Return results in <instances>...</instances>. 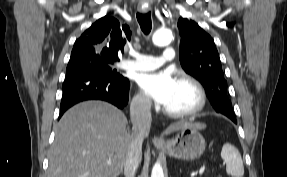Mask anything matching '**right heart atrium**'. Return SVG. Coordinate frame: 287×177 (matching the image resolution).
<instances>
[{
	"label": "right heart atrium",
	"mask_w": 287,
	"mask_h": 177,
	"mask_svg": "<svg viewBox=\"0 0 287 177\" xmlns=\"http://www.w3.org/2000/svg\"><path fill=\"white\" fill-rule=\"evenodd\" d=\"M150 101L142 93H137L132 102L134 112L142 114L146 113L150 109Z\"/></svg>",
	"instance_id": "obj_1"
}]
</instances>
